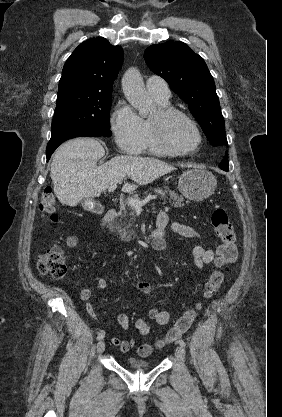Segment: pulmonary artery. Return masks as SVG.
Listing matches in <instances>:
<instances>
[{
    "mask_svg": "<svg viewBox=\"0 0 282 417\" xmlns=\"http://www.w3.org/2000/svg\"><path fill=\"white\" fill-rule=\"evenodd\" d=\"M146 89L156 101L160 102H168L171 95L167 83L158 76H152L147 79Z\"/></svg>",
    "mask_w": 282,
    "mask_h": 417,
    "instance_id": "e3ab8cb5",
    "label": "pulmonary artery"
}]
</instances>
